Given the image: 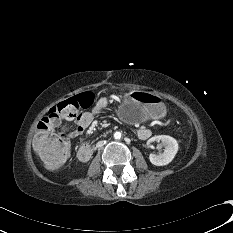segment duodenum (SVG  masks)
Returning a JSON list of instances; mask_svg holds the SVG:
<instances>
[{
	"mask_svg": "<svg viewBox=\"0 0 233 233\" xmlns=\"http://www.w3.org/2000/svg\"><path fill=\"white\" fill-rule=\"evenodd\" d=\"M95 151V147L84 144L78 150V158L82 162H87Z\"/></svg>",
	"mask_w": 233,
	"mask_h": 233,
	"instance_id": "1",
	"label": "duodenum"
}]
</instances>
